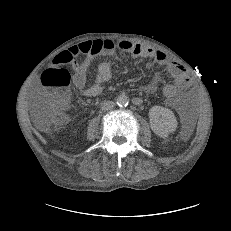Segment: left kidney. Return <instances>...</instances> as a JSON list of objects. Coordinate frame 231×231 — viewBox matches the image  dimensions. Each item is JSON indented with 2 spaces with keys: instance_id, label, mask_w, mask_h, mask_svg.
<instances>
[{
  "instance_id": "1",
  "label": "left kidney",
  "mask_w": 231,
  "mask_h": 231,
  "mask_svg": "<svg viewBox=\"0 0 231 231\" xmlns=\"http://www.w3.org/2000/svg\"><path fill=\"white\" fill-rule=\"evenodd\" d=\"M149 120L152 131L162 138L168 137L177 128V120L174 113L162 106L150 108Z\"/></svg>"
}]
</instances>
